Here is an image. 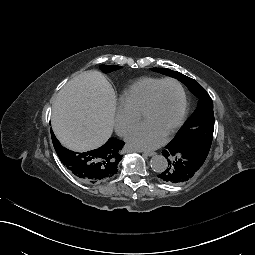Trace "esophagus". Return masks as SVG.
<instances>
[{
    "mask_svg": "<svg viewBox=\"0 0 255 255\" xmlns=\"http://www.w3.org/2000/svg\"><path fill=\"white\" fill-rule=\"evenodd\" d=\"M144 154L146 155V156H153V155H155V152H144Z\"/></svg>",
    "mask_w": 255,
    "mask_h": 255,
    "instance_id": "1",
    "label": "esophagus"
}]
</instances>
